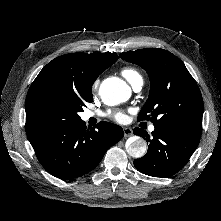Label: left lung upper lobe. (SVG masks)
I'll return each instance as SVG.
<instances>
[{"label":"left lung upper lobe","instance_id":"obj_1","mask_svg":"<svg viewBox=\"0 0 221 221\" xmlns=\"http://www.w3.org/2000/svg\"><path fill=\"white\" fill-rule=\"evenodd\" d=\"M142 67L150 79V95L138 121L151 117L156 127L200 137L203 99L200 89L183 62L160 48H145L119 54Z\"/></svg>","mask_w":221,"mask_h":221}]
</instances>
